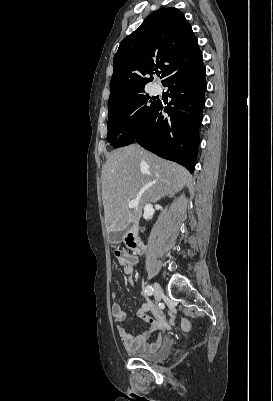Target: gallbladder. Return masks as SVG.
Instances as JSON below:
<instances>
[{
    "label": "gallbladder",
    "mask_w": 273,
    "mask_h": 401,
    "mask_svg": "<svg viewBox=\"0 0 273 401\" xmlns=\"http://www.w3.org/2000/svg\"><path fill=\"white\" fill-rule=\"evenodd\" d=\"M111 231V230H110ZM114 233H109V239L110 241H121L122 239V233H117L118 229L114 228L113 229Z\"/></svg>",
    "instance_id": "obj_1"
}]
</instances>
